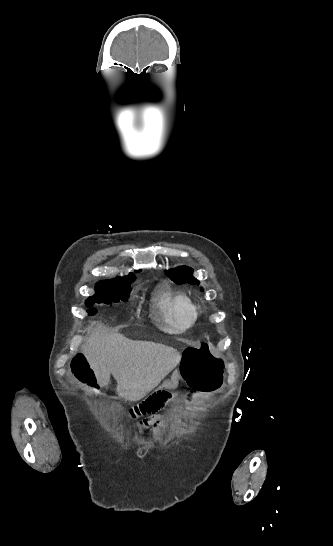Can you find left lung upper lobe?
<instances>
[{
	"mask_svg": "<svg viewBox=\"0 0 333 546\" xmlns=\"http://www.w3.org/2000/svg\"><path fill=\"white\" fill-rule=\"evenodd\" d=\"M192 269L187 266H181L177 267L175 269H171L168 271H165V274L169 276V278L177 283H190V284H199V281L192 276Z\"/></svg>",
	"mask_w": 333,
	"mask_h": 546,
	"instance_id": "obj_1",
	"label": "left lung upper lobe"
}]
</instances>
